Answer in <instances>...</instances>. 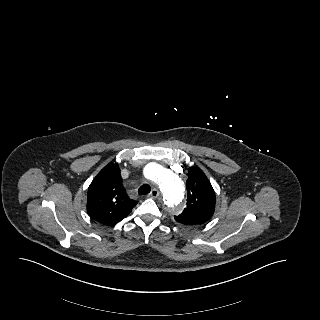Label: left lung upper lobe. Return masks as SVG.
Masks as SVG:
<instances>
[{"mask_svg":"<svg viewBox=\"0 0 320 320\" xmlns=\"http://www.w3.org/2000/svg\"><path fill=\"white\" fill-rule=\"evenodd\" d=\"M187 203L175 220L185 226L200 225L208 221L215 209V192L203 171L190 167L186 181Z\"/></svg>","mask_w":320,"mask_h":320,"instance_id":"5c2ea615","label":"left lung upper lobe"}]
</instances>
